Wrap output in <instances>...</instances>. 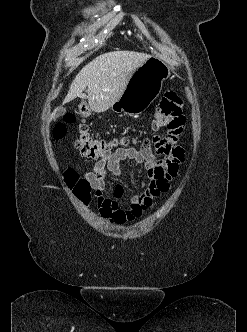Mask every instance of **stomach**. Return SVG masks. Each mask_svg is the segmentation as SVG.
<instances>
[{"instance_id":"stomach-1","label":"stomach","mask_w":247,"mask_h":332,"mask_svg":"<svg viewBox=\"0 0 247 332\" xmlns=\"http://www.w3.org/2000/svg\"><path fill=\"white\" fill-rule=\"evenodd\" d=\"M170 77V67L162 59L150 56L129 79L112 110L129 116L141 115L159 96L163 82Z\"/></svg>"}]
</instances>
